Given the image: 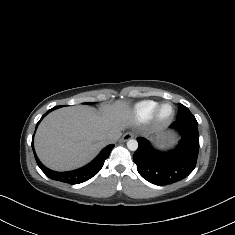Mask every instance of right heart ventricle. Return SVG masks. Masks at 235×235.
Returning <instances> with one entry per match:
<instances>
[{"instance_id": "right-heart-ventricle-1", "label": "right heart ventricle", "mask_w": 235, "mask_h": 235, "mask_svg": "<svg viewBox=\"0 0 235 235\" xmlns=\"http://www.w3.org/2000/svg\"><path fill=\"white\" fill-rule=\"evenodd\" d=\"M157 104L158 102L155 101H142L130 106L118 104L110 107L107 110V115L114 122L126 120L133 123H143L152 118Z\"/></svg>"}]
</instances>
